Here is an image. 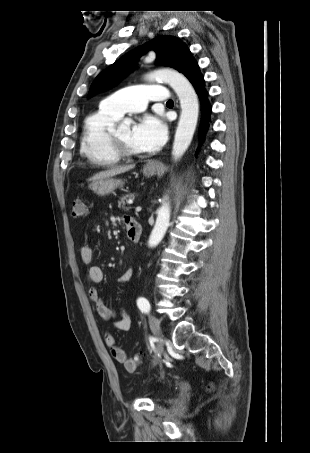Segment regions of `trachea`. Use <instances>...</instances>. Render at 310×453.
Instances as JSON below:
<instances>
[{"label":"trachea","instance_id":"3493384b","mask_svg":"<svg viewBox=\"0 0 310 453\" xmlns=\"http://www.w3.org/2000/svg\"><path fill=\"white\" fill-rule=\"evenodd\" d=\"M173 104V101L172 100H169L167 101L166 105H172Z\"/></svg>","mask_w":310,"mask_h":453}]
</instances>
